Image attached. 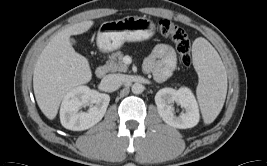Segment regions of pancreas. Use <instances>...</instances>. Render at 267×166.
Returning a JSON list of instances; mask_svg holds the SVG:
<instances>
[{
	"label": "pancreas",
	"mask_w": 267,
	"mask_h": 166,
	"mask_svg": "<svg viewBox=\"0 0 267 166\" xmlns=\"http://www.w3.org/2000/svg\"><path fill=\"white\" fill-rule=\"evenodd\" d=\"M105 68L110 72H126L128 69L127 64L123 61V54L121 51L112 53L109 60L105 64Z\"/></svg>",
	"instance_id": "1"
}]
</instances>
